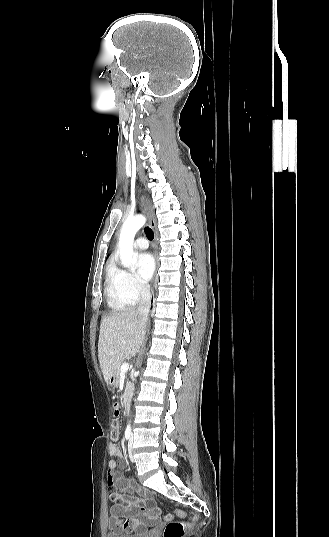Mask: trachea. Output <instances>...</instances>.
<instances>
[{
    "label": "trachea",
    "mask_w": 329,
    "mask_h": 537,
    "mask_svg": "<svg viewBox=\"0 0 329 537\" xmlns=\"http://www.w3.org/2000/svg\"><path fill=\"white\" fill-rule=\"evenodd\" d=\"M146 236H147V238L149 240H153V238H154V233H153L152 229L149 228V227L146 228Z\"/></svg>",
    "instance_id": "trachea-1"
}]
</instances>
